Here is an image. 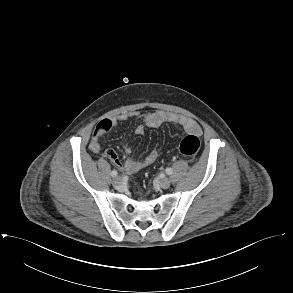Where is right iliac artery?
<instances>
[{
	"instance_id": "1",
	"label": "right iliac artery",
	"mask_w": 293,
	"mask_h": 293,
	"mask_svg": "<svg viewBox=\"0 0 293 293\" xmlns=\"http://www.w3.org/2000/svg\"><path fill=\"white\" fill-rule=\"evenodd\" d=\"M118 175L116 170L111 171V176L112 177H116Z\"/></svg>"
}]
</instances>
